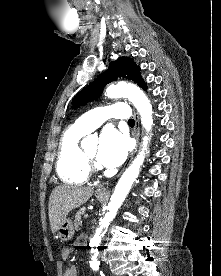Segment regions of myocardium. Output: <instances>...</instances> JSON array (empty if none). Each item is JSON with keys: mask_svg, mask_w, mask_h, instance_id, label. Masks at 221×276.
Wrapping results in <instances>:
<instances>
[{"mask_svg": "<svg viewBox=\"0 0 221 276\" xmlns=\"http://www.w3.org/2000/svg\"><path fill=\"white\" fill-rule=\"evenodd\" d=\"M84 155L91 171H97L100 169V166L95 162L94 157L88 155L86 152H84Z\"/></svg>", "mask_w": 221, "mask_h": 276, "instance_id": "1", "label": "myocardium"}]
</instances>
